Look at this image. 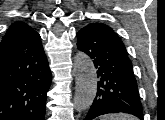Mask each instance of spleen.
I'll use <instances>...</instances> for the list:
<instances>
[{"mask_svg":"<svg viewBox=\"0 0 165 120\" xmlns=\"http://www.w3.org/2000/svg\"><path fill=\"white\" fill-rule=\"evenodd\" d=\"M100 120H137L136 117L124 113L103 115Z\"/></svg>","mask_w":165,"mask_h":120,"instance_id":"obj_1","label":"spleen"}]
</instances>
